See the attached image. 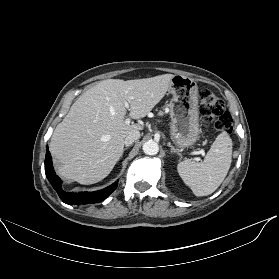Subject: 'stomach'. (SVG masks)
Returning <instances> with one entry per match:
<instances>
[{
    "instance_id": "0dacf381",
    "label": "stomach",
    "mask_w": 279,
    "mask_h": 279,
    "mask_svg": "<svg viewBox=\"0 0 279 279\" xmlns=\"http://www.w3.org/2000/svg\"><path fill=\"white\" fill-rule=\"evenodd\" d=\"M168 92L172 95L170 135L176 146L186 148L199 137L198 86L193 78L174 75Z\"/></svg>"
}]
</instances>
